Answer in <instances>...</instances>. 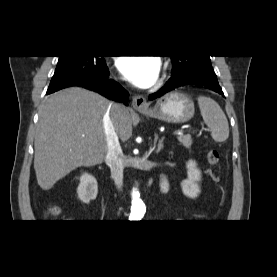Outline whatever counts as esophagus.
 <instances>
[{"label": "esophagus", "instance_id": "obj_1", "mask_svg": "<svg viewBox=\"0 0 277 277\" xmlns=\"http://www.w3.org/2000/svg\"><path fill=\"white\" fill-rule=\"evenodd\" d=\"M132 106L138 111H143L148 108V103L142 95H135L132 99Z\"/></svg>", "mask_w": 277, "mask_h": 277}]
</instances>
